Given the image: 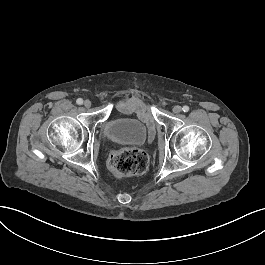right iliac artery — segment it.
<instances>
[{
    "instance_id": "1",
    "label": "right iliac artery",
    "mask_w": 265,
    "mask_h": 265,
    "mask_svg": "<svg viewBox=\"0 0 265 265\" xmlns=\"http://www.w3.org/2000/svg\"><path fill=\"white\" fill-rule=\"evenodd\" d=\"M76 102H77L78 105H82L83 104V100L81 98L77 99Z\"/></svg>"
}]
</instances>
